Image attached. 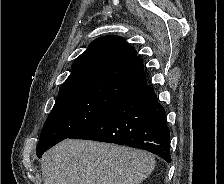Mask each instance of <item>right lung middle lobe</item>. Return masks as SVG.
<instances>
[{"instance_id": "right-lung-middle-lobe-1", "label": "right lung middle lobe", "mask_w": 224, "mask_h": 184, "mask_svg": "<svg viewBox=\"0 0 224 184\" xmlns=\"http://www.w3.org/2000/svg\"><path fill=\"white\" fill-rule=\"evenodd\" d=\"M130 90L126 85L92 81L58 93L44 123L36 148L37 156L90 124Z\"/></svg>"}]
</instances>
